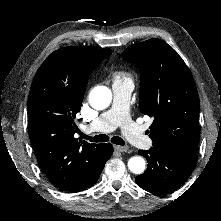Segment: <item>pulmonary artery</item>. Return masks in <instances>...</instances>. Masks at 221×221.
I'll use <instances>...</instances> for the list:
<instances>
[{
    "instance_id": "obj_1",
    "label": "pulmonary artery",
    "mask_w": 221,
    "mask_h": 221,
    "mask_svg": "<svg viewBox=\"0 0 221 221\" xmlns=\"http://www.w3.org/2000/svg\"><path fill=\"white\" fill-rule=\"evenodd\" d=\"M133 87L131 80L114 81L111 107L88 124L85 127L86 131L110 132L120 127L127 140L134 146L143 149L151 147L152 140L145 135L142 127L136 124L129 115V100Z\"/></svg>"
}]
</instances>
